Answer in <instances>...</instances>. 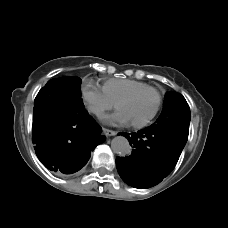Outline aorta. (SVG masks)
Returning a JSON list of instances; mask_svg holds the SVG:
<instances>
[{"label":"aorta","instance_id":"1","mask_svg":"<svg viewBox=\"0 0 228 228\" xmlns=\"http://www.w3.org/2000/svg\"><path fill=\"white\" fill-rule=\"evenodd\" d=\"M111 148L114 153L122 156L127 155L131 150V146L127 138L123 136H116L115 138H113L111 142Z\"/></svg>","mask_w":228,"mask_h":228}]
</instances>
